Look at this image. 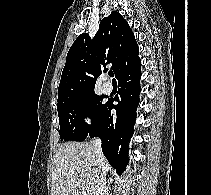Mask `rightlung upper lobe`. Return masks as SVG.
Wrapping results in <instances>:
<instances>
[{
  "label": "right lung upper lobe",
  "mask_w": 211,
  "mask_h": 195,
  "mask_svg": "<svg viewBox=\"0 0 211 195\" xmlns=\"http://www.w3.org/2000/svg\"><path fill=\"white\" fill-rule=\"evenodd\" d=\"M139 48L127 21L116 11L102 19L91 39L77 37L68 51L58 88V104L94 92L97 77L107 64L118 78L141 63Z\"/></svg>",
  "instance_id": "1"
}]
</instances>
